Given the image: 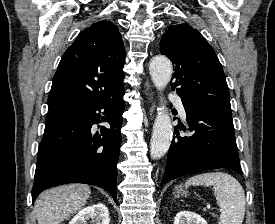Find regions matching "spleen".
<instances>
[{"label":"spleen","mask_w":275,"mask_h":224,"mask_svg":"<svg viewBox=\"0 0 275 224\" xmlns=\"http://www.w3.org/2000/svg\"><path fill=\"white\" fill-rule=\"evenodd\" d=\"M213 186L222 212L219 224H242L245 215V193L240 183L223 172L202 173L190 177L185 186Z\"/></svg>","instance_id":"obj_1"}]
</instances>
